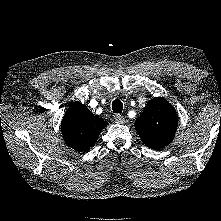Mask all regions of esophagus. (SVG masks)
<instances>
[{"instance_id":"obj_1","label":"esophagus","mask_w":221,"mask_h":221,"mask_svg":"<svg viewBox=\"0 0 221 221\" xmlns=\"http://www.w3.org/2000/svg\"><path fill=\"white\" fill-rule=\"evenodd\" d=\"M115 122L118 124H123L125 122V117L120 115V114H116L114 116Z\"/></svg>"}]
</instances>
